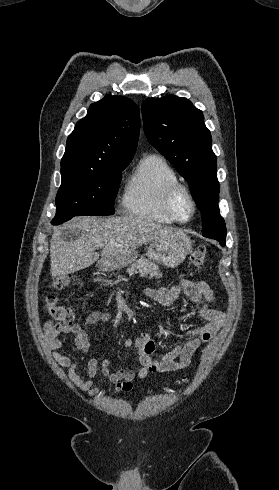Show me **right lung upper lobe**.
Listing matches in <instances>:
<instances>
[{
  "mask_svg": "<svg viewBox=\"0 0 279 490\" xmlns=\"http://www.w3.org/2000/svg\"><path fill=\"white\" fill-rule=\"evenodd\" d=\"M139 108L122 96H106L91 104L66 142L61 169L127 165L137 147Z\"/></svg>",
  "mask_w": 279,
  "mask_h": 490,
  "instance_id": "cb5924a9",
  "label": "right lung upper lobe"
}]
</instances>
